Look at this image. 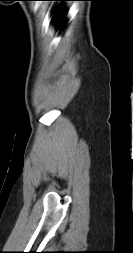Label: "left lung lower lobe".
I'll return each mask as SVG.
<instances>
[{
	"label": "left lung lower lobe",
	"mask_w": 133,
	"mask_h": 253,
	"mask_svg": "<svg viewBox=\"0 0 133 253\" xmlns=\"http://www.w3.org/2000/svg\"><path fill=\"white\" fill-rule=\"evenodd\" d=\"M45 1H72V0H45ZM59 9L57 8L56 9V11H55V15L56 14H59V11H58ZM61 21H62V19H61ZM61 23V22H60Z\"/></svg>",
	"instance_id": "obj_1"
}]
</instances>
